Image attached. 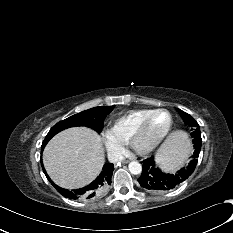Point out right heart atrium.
<instances>
[{"label": "right heart atrium", "mask_w": 233, "mask_h": 233, "mask_svg": "<svg viewBox=\"0 0 233 233\" xmlns=\"http://www.w3.org/2000/svg\"><path fill=\"white\" fill-rule=\"evenodd\" d=\"M103 144L108 152V154L112 157L118 158L124 152L123 146L118 143L115 139H113L109 134L104 135L102 137Z\"/></svg>", "instance_id": "d8ad5b80"}]
</instances>
